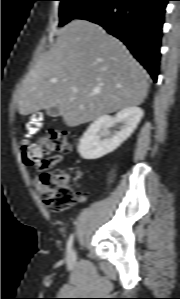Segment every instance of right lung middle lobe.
Instances as JSON below:
<instances>
[{"instance_id":"obj_1","label":"right lung middle lobe","mask_w":180,"mask_h":299,"mask_svg":"<svg viewBox=\"0 0 180 299\" xmlns=\"http://www.w3.org/2000/svg\"><path fill=\"white\" fill-rule=\"evenodd\" d=\"M60 23L63 26L70 20L78 18L83 13L100 3L102 0H60Z\"/></svg>"}]
</instances>
